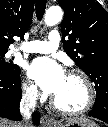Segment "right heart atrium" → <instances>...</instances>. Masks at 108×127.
Returning <instances> with one entry per match:
<instances>
[{
	"label": "right heart atrium",
	"instance_id": "1",
	"mask_svg": "<svg viewBox=\"0 0 108 127\" xmlns=\"http://www.w3.org/2000/svg\"><path fill=\"white\" fill-rule=\"evenodd\" d=\"M22 91H23V96L30 101H35L40 98V93L37 88V86L30 82V81H24L22 85Z\"/></svg>",
	"mask_w": 108,
	"mask_h": 127
}]
</instances>
